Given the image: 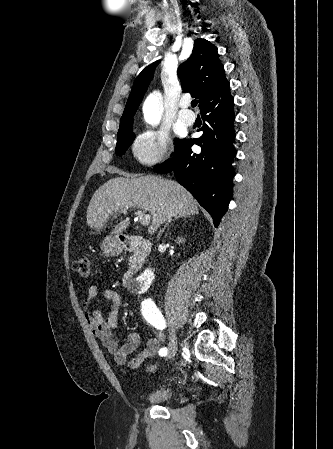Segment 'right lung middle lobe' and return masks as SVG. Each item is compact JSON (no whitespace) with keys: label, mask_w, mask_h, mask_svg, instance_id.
Returning a JSON list of instances; mask_svg holds the SVG:
<instances>
[{"label":"right lung middle lobe","mask_w":333,"mask_h":449,"mask_svg":"<svg viewBox=\"0 0 333 449\" xmlns=\"http://www.w3.org/2000/svg\"><path fill=\"white\" fill-rule=\"evenodd\" d=\"M133 120H123L120 122V128L117 135L116 154L122 156L125 154L128 146H130L134 139L132 132ZM179 140H176L177 143Z\"/></svg>","instance_id":"1"}]
</instances>
